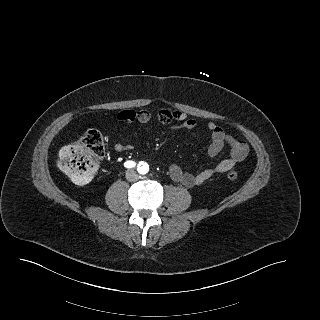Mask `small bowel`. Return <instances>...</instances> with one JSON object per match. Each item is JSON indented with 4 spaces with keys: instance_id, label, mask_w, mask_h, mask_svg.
Instances as JSON below:
<instances>
[{
    "instance_id": "c3829d8e",
    "label": "small bowel",
    "mask_w": 320,
    "mask_h": 320,
    "mask_svg": "<svg viewBox=\"0 0 320 320\" xmlns=\"http://www.w3.org/2000/svg\"><path fill=\"white\" fill-rule=\"evenodd\" d=\"M156 118L161 123L169 125L171 131L195 129L198 126L195 119L189 118L186 113L179 110L162 109L156 114ZM151 119L152 115L147 110L126 109L120 111L116 115V120L119 123H132L138 121L146 124L150 122ZM207 128L211 136V143L207 151L208 156L211 158L216 157L223 148L228 145L230 148V157L220 161L214 167L202 170L198 173L185 171L178 164L171 163L168 168L170 177L172 180L185 187L191 188L201 185L217 174H223L232 170L234 166L243 161L248 154L247 144L238 139L233 133L226 131L213 122H210L207 125ZM131 148L132 147L127 144H114V150L117 152L129 151Z\"/></svg>"
}]
</instances>
